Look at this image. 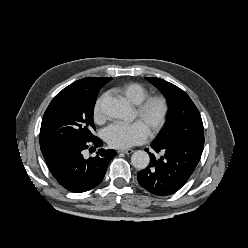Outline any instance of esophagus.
<instances>
[{"mask_svg":"<svg viewBox=\"0 0 248 248\" xmlns=\"http://www.w3.org/2000/svg\"><path fill=\"white\" fill-rule=\"evenodd\" d=\"M119 153H123L126 155L132 154L133 153V149H121L118 151Z\"/></svg>","mask_w":248,"mask_h":248,"instance_id":"esophagus-1","label":"esophagus"}]
</instances>
